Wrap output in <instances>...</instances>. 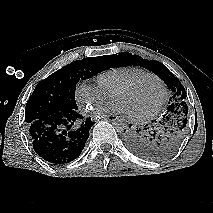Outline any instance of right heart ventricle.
I'll return each instance as SVG.
<instances>
[{
  "label": "right heart ventricle",
  "instance_id": "right-heart-ventricle-1",
  "mask_svg": "<svg viewBox=\"0 0 213 213\" xmlns=\"http://www.w3.org/2000/svg\"><path fill=\"white\" fill-rule=\"evenodd\" d=\"M146 73L149 72L138 66L115 67L100 73L97 83L105 93L112 96L119 87Z\"/></svg>",
  "mask_w": 213,
  "mask_h": 213
}]
</instances>
